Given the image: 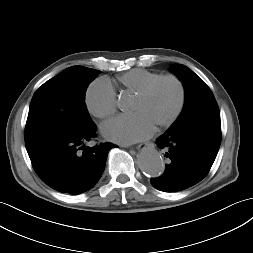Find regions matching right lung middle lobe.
<instances>
[{
	"label": "right lung middle lobe",
	"instance_id": "right-lung-middle-lobe-1",
	"mask_svg": "<svg viewBox=\"0 0 253 253\" xmlns=\"http://www.w3.org/2000/svg\"><path fill=\"white\" fill-rule=\"evenodd\" d=\"M99 70L72 66L45 82L30 103L25 127L27 152L95 125L85 104L88 85Z\"/></svg>",
	"mask_w": 253,
	"mask_h": 253
}]
</instances>
